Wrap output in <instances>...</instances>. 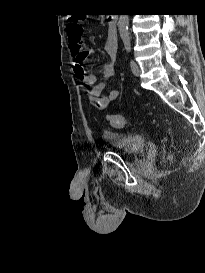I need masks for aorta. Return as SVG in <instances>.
<instances>
[{
    "label": "aorta",
    "mask_w": 205,
    "mask_h": 273,
    "mask_svg": "<svg viewBox=\"0 0 205 273\" xmlns=\"http://www.w3.org/2000/svg\"><path fill=\"white\" fill-rule=\"evenodd\" d=\"M129 15H120L118 21L119 34L123 42L129 41Z\"/></svg>",
    "instance_id": "obj_1"
}]
</instances>
